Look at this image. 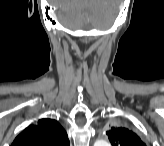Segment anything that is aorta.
I'll list each match as a JSON object with an SVG mask.
<instances>
[{
  "mask_svg": "<svg viewBox=\"0 0 164 146\" xmlns=\"http://www.w3.org/2000/svg\"><path fill=\"white\" fill-rule=\"evenodd\" d=\"M95 146H109V143L106 140H97Z\"/></svg>",
  "mask_w": 164,
  "mask_h": 146,
  "instance_id": "aorta-1",
  "label": "aorta"
}]
</instances>
